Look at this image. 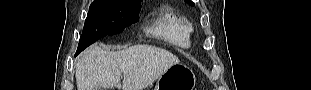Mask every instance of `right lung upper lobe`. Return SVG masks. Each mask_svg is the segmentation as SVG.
<instances>
[{
	"mask_svg": "<svg viewBox=\"0 0 311 90\" xmlns=\"http://www.w3.org/2000/svg\"><path fill=\"white\" fill-rule=\"evenodd\" d=\"M95 1H102V0H95ZM120 1H126V2H130V3H140V1H142V0H120Z\"/></svg>",
	"mask_w": 311,
	"mask_h": 90,
	"instance_id": "obj_1",
	"label": "right lung upper lobe"
}]
</instances>
